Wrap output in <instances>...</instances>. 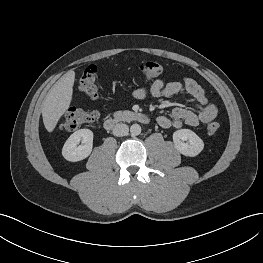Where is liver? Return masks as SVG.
Masks as SVG:
<instances>
[{
    "mask_svg": "<svg viewBox=\"0 0 263 263\" xmlns=\"http://www.w3.org/2000/svg\"><path fill=\"white\" fill-rule=\"evenodd\" d=\"M75 81L73 70L65 73L49 90L42 106L43 123L48 132H52L61 116L69 108Z\"/></svg>",
    "mask_w": 263,
    "mask_h": 263,
    "instance_id": "obj_1",
    "label": "liver"
}]
</instances>
